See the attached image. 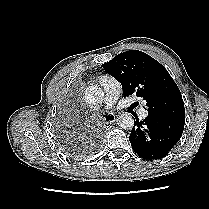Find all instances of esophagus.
Segmentation results:
<instances>
[{
	"mask_svg": "<svg viewBox=\"0 0 209 209\" xmlns=\"http://www.w3.org/2000/svg\"><path fill=\"white\" fill-rule=\"evenodd\" d=\"M107 117L110 119V120H107L106 121V123H113L115 120H116V115H114V114H109V115H107Z\"/></svg>",
	"mask_w": 209,
	"mask_h": 209,
	"instance_id": "obj_1",
	"label": "esophagus"
}]
</instances>
